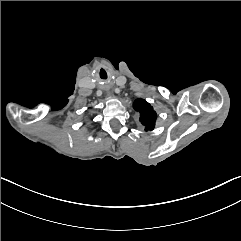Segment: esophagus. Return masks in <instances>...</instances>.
Here are the masks:
<instances>
[{
	"label": "esophagus",
	"instance_id": "34e87169",
	"mask_svg": "<svg viewBox=\"0 0 241 241\" xmlns=\"http://www.w3.org/2000/svg\"><path fill=\"white\" fill-rule=\"evenodd\" d=\"M108 96H112V93H109Z\"/></svg>",
	"mask_w": 241,
	"mask_h": 241
}]
</instances>
